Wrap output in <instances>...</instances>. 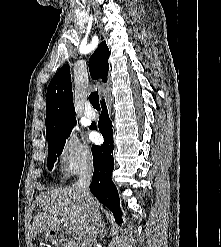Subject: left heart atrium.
I'll return each instance as SVG.
<instances>
[{"instance_id": "1", "label": "left heart atrium", "mask_w": 221, "mask_h": 247, "mask_svg": "<svg viewBox=\"0 0 221 247\" xmlns=\"http://www.w3.org/2000/svg\"><path fill=\"white\" fill-rule=\"evenodd\" d=\"M96 138H97V136H96L95 134H92V135H91V139H92V140H96Z\"/></svg>"}]
</instances>
